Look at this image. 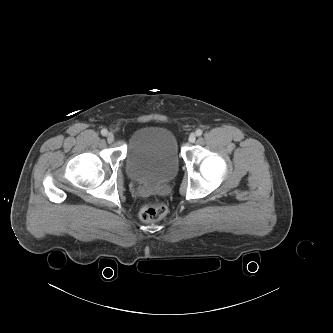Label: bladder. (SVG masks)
Listing matches in <instances>:
<instances>
[{
	"mask_svg": "<svg viewBox=\"0 0 333 333\" xmlns=\"http://www.w3.org/2000/svg\"><path fill=\"white\" fill-rule=\"evenodd\" d=\"M125 169L136 182L164 183L179 169L177 138L173 130L161 125L143 126L129 138Z\"/></svg>",
	"mask_w": 333,
	"mask_h": 333,
	"instance_id": "bladder-1",
	"label": "bladder"
}]
</instances>
